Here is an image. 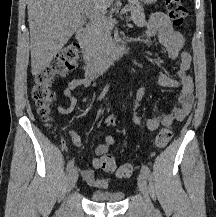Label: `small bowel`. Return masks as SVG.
Wrapping results in <instances>:
<instances>
[{
	"label": "small bowel",
	"mask_w": 216,
	"mask_h": 217,
	"mask_svg": "<svg viewBox=\"0 0 216 217\" xmlns=\"http://www.w3.org/2000/svg\"><path fill=\"white\" fill-rule=\"evenodd\" d=\"M143 37H156L158 42L166 49L168 56L178 62V69L176 71L177 78L166 74H159L156 78V82L161 86L177 88L179 92L177 95V104L170 112L160 113L147 120L146 129L155 131L161 125L169 126L175 122L183 121L189 114L194 100L193 79L189 74L192 58L189 52L184 48L185 41L182 34L173 29L169 18L163 13H155L151 16ZM90 82L91 77L86 74L82 77L74 78L67 83L62 93L69 100L70 106L59 107L61 114L69 113L76 103L74 91L89 86ZM148 84L149 83H145L138 90L132 104V122L138 127L140 126V120L136 116L135 110L143 99ZM69 136L75 147L79 149L83 148L84 143L76 131L70 130ZM114 143V138L111 135H106L96 148L97 156L92 161L93 169L82 171V178L89 186L97 189H107L109 187L111 183L110 179L106 177H96L94 170L101 169L102 161L104 157L108 155L109 147Z\"/></svg>",
	"instance_id": "c3829d8e"
}]
</instances>
